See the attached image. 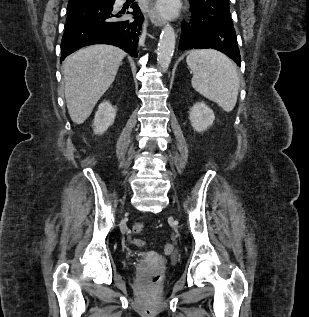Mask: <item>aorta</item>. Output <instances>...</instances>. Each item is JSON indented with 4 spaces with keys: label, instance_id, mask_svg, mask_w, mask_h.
<instances>
[{
    "label": "aorta",
    "instance_id": "1",
    "mask_svg": "<svg viewBox=\"0 0 309 317\" xmlns=\"http://www.w3.org/2000/svg\"><path fill=\"white\" fill-rule=\"evenodd\" d=\"M175 49V31L171 25H166L160 35L157 50V61L162 71H167Z\"/></svg>",
    "mask_w": 309,
    "mask_h": 317
}]
</instances>
